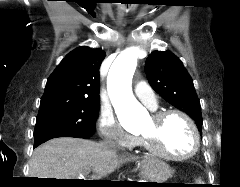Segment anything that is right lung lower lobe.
Listing matches in <instances>:
<instances>
[{"label":"right lung lower lobe","mask_w":240,"mask_h":187,"mask_svg":"<svg viewBox=\"0 0 240 187\" xmlns=\"http://www.w3.org/2000/svg\"><path fill=\"white\" fill-rule=\"evenodd\" d=\"M56 137H76V138H83V137H79L77 135L74 134H70V133H65V132H51L48 134H44L38 137H35V141H34V148L39 146L40 144L52 139V138H56ZM86 139V138H85Z\"/></svg>","instance_id":"right-lung-lower-lobe-1"}]
</instances>
